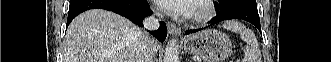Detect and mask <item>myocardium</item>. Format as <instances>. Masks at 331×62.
Returning a JSON list of instances; mask_svg holds the SVG:
<instances>
[{
    "instance_id": "myocardium-1",
    "label": "myocardium",
    "mask_w": 331,
    "mask_h": 62,
    "mask_svg": "<svg viewBox=\"0 0 331 62\" xmlns=\"http://www.w3.org/2000/svg\"><path fill=\"white\" fill-rule=\"evenodd\" d=\"M215 14L213 1L198 0L194 3V11L189 19L193 24H203L211 20Z\"/></svg>"
}]
</instances>
